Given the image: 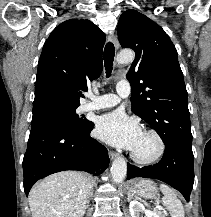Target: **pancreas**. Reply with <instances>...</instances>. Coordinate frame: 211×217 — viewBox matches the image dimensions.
<instances>
[{
	"instance_id": "cf45deb5",
	"label": "pancreas",
	"mask_w": 211,
	"mask_h": 217,
	"mask_svg": "<svg viewBox=\"0 0 211 217\" xmlns=\"http://www.w3.org/2000/svg\"><path fill=\"white\" fill-rule=\"evenodd\" d=\"M157 213L160 214V217H165L161 212L157 211Z\"/></svg>"
}]
</instances>
